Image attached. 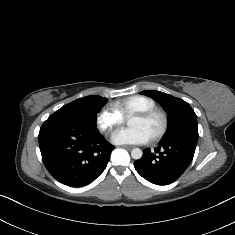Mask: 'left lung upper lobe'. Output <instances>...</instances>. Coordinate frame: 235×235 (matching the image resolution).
I'll return each mask as SVG.
<instances>
[{"label": "left lung upper lobe", "mask_w": 235, "mask_h": 235, "mask_svg": "<svg viewBox=\"0 0 235 235\" xmlns=\"http://www.w3.org/2000/svg\"><path fill=\"white\" fill-rule=\"evenodd\" d=\"M141 94L160 103L168 115V127L162 141L184 140L197 144V115L187 102L155 90H145Z\"/></svg>", "instance_id": "obj_1"}]
</instances>
